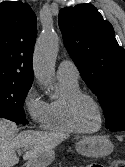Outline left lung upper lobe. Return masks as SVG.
<instances>
[{"mask_svg": "<svg viewBox=\"0 0 125 167\" xmlns=\"http://www.w3.org/2000/svg\"><path fill=\"white\" fill-rule=\"evenodd\" d=\"M64 45L87 86L103 105L106 128L125 131V50L112 25L91 4L59 12Z\"/></svg>", "mask_w": 125, "mask_h": 167, "instance_id": "obj_1", "label": "left lung upper lobe"}]
</instances>
